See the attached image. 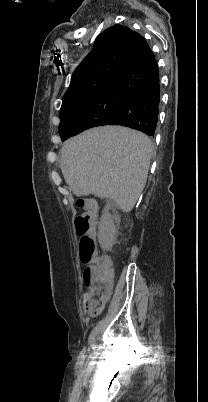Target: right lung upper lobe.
<instances>
[{
	"mask_svg": "<svg viewBox=\"0 0 208 402\" xmlns=\"http://www.w3.org/2000/svg\"><path fill=\"white\" fill-rule=\"evenodd\" d=\"M145 42V38L125 26L116 24L106 29L96 38L91 52L73 72L64 96L101 82H113Z\"/></svg>",
	"mask_w": 208,
	"mask_h": 402,
	"instance_id": "cb5924a9",
	"label": "right lung upper lobe"
}]
</instances>
